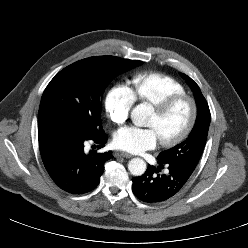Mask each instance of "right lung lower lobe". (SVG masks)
Wrapping results in <instances>:
<instances>
[{"instance_id": "1", "label": "right lung lower lobe", "mask_w": 248, "mask_h": 248, "mask_svg": "<svg viewBox=\"0 0 248 248\" xmlns=\"http://www.w3.org/2000/svg\"><path fill=\"white\" fill-rule=\"evenodd\" d=\"M40 153L52 180L71 194L90 192L100 182V176L112 152L84 153V141L93 140L104 146L108 137L103 130L95 135L79 136L63 130L38 132Z\"/></svg>"}]
</instances>
